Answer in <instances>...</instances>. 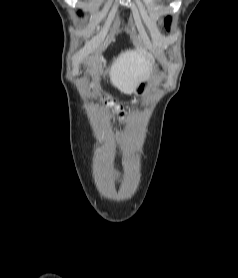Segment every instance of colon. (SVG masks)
<instances>
[{
	"instance_id": "1",
	"label": "colon",
	"mask_w": 238,
	"mask_h": 278,
	"mask_svg": "<svg viewBox=\"0 0 238 278\" xmlns=\"http://www.w3.org/2000/svg\"><path fill=\"white\" fill-rule=\"evenodd\" d=\"M107 103L109 106H114V104L111 101H108ZM115 110L118 111V108L115 107ZM103 120L114 131L119 130L124 124V121L121 117L115 116L111 112L106 113L103 117Z\"/></svg>"
}]
</instances>
